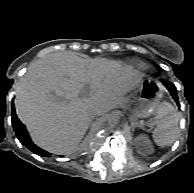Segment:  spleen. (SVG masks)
<instances>
[{"label": "spleen", "instance_id": "1", "mask_svg": "<svg viewBox=\"0 0 194 193\" xmlns=\"http://www.w3.org/2000/svg\"><path fill=\"white\" fill-rule=\"evenodd\" d=\"M179 116L168 102L159 105L156 114V128L153 132L155 143L161 147L171 145L178 133Z\"/></svg>", "mask_w": 194, "mask_h": 193}]
</instances>
